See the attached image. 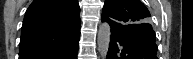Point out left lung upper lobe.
I'll list each match as a JSON object with an SVG mask.
<instances>
[{
	"instance_id": "5c2ea615",
	"label": "left lung upper lobe",
	"mask_w": 193,
	"mask_h": 59,
	"mask_svg": "<svg viewBox=\"0 0 193 59\" xmlns=\"http://www.w3.org/2000/svg\"><path fill=\"white\" fill-rule=\"evenodd\" d=\"M102 16L130 29L150 22V13L140 0H106Z\"/></svg>"
}]
</instances>
